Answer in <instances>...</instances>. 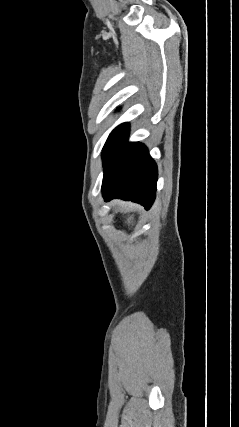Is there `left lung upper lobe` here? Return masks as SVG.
Here are the masks:
<instances>
[{"instance_id": "obj_1", "label": "left lung upper lobe", "mask_w": 239, "mask_h": 427, "mask_svg": "<svg viewBox=\"0 0 239 427\" xmlns=\"http://www.w3.org/2000/svg\"><path fill=\"white\" fill-rule=\"evenodd\" d=\"M126 124L125 123H123V124H121V125H119L117 128H115L113 131H112V133L109 135V137H108V139H107V141H106V143H105V145H104V147L107 145V143L112 139V137L123 127V126H125Z\"/></svg>"}]
</instances>
